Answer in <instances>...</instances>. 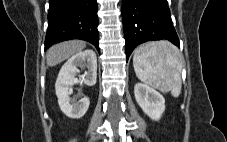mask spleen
I'll return each mask as SVG.
<instances>
[{"label":"spleen","mask_w":227,"mask_h":142,"mask_svg":"<svg viewBox=\"0 0 227 142\" xmlns=\"http://www.w3.org/2000/svg\"><path fill=\"white\" fill-rule=\"evenodd\" d=\"M133 66L145 84L178 97L181 88L182 57L168 41L148 42L135 49Z\"/></svg>","instance_id":"spleen-1"}]
</instances>
